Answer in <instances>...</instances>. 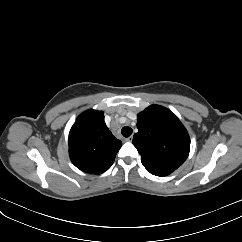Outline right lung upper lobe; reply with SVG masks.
Listing matches in <instances>:
<instances>
[{
	"instance_id": "right-lung-upper-lobe-1",
	"label": "right lung upper lobe",
	"mask_w": 242,
	"mask_h": 242,
	"mask_svg": "<svg viewBox=\"0 0 242 242\" xmlns=\"http://www.w3.org/2000/svg\"><path fill=\"white\" fill-rule=\"evenodd\" d=\"M121 146V141L107 128L102 111H85L69 133L70 159L86 173L101 174L108 170Z\"/></svg>"
}]
</instances>
